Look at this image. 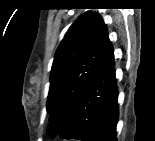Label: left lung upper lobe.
I'll return each instance as SVG.
<instances>
[{"label":"left lung upper lobe","instance_id":"left-lung-upper-lobe-1","mask_svg":"<svg viewBox=\"0 0 155 141\" xmlns=\"http://www.w3.org/2000/svg\"><path fill=\"white\" fill-rule=\"evenodd\" d=\"M109 43L106 24L98 13L85 12L67 31L51 69L47 113L52 135L63 129Z\"/></svg>","mask_w":155,"mask_h":141}]
</instances>
